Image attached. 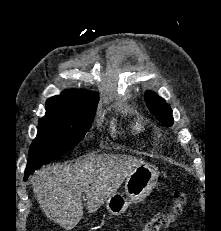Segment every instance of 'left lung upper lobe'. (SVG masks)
I'll use <instances>...</instances> for the list:
<instances>
[{
  "label": "left lung upper lobe",
  "mask_w": 221,
  "mask_h": 231,
  "mask_svg": "<svg viewBox=\"0 0 221 231\" xmlns=\"http://www.w3.org/2000/svg\"><path fill=\"white\" fill-rule=\"evenodd\" d=\"M145 102L150 112L165 126L173 125V117L171 108L165 101L153 92L145 94Z\"/></svg>",
  "instance_id": "obj_1"
}]
</instances>
